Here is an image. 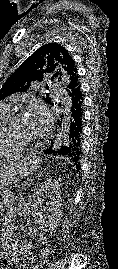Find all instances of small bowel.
<instances>
[{
	"label": "small bowel",
	"mask_w": 118,
	"mask_h": 269,
	"mask_svg": "<svg viewBox=\"0 0 118 269\" xmlns=\"http://www.w3.org/2000/svg\"><path fill=\"white\" fill-rule=\"evenodd\" d=\"M4 221H3V243L0 246V255L4 256V265L12 266L16 264L21 259H26L30 249L31 244L29 242H22L18 246H13L9 243L11 238V231L13 226V221L16 216V203H20L15 198L10 199L9 201L4 202ZM0 213H2L0 211ZM32 235L36 238L43 239V236L39 233L37 229L32 230ZM0 269H4L0 267Z\"/></svg>",
	"instance_id": "small-bowel-1"
}]
</instances>
